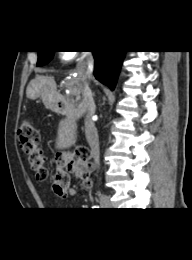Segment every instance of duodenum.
<instances>
[{
  "label": "duodenum",
  "mask_w": 192,
  "mask_h": 260,
  "mask_svg": "<svg viewBox=\"0 0 192 260\" xmlns=\"http://www.w3.org/2000/svg\"><path fill=\"white\" fill-rule=\"evenodd\" d=\"M55 110L58 113L66 115V116H68L71 119L73 118V110H72V108L68 104H66L64 101H62V100H59V101L56 102Z\"/></svg>",
  "instance_id": "410a0bca"
}]
</instances>
